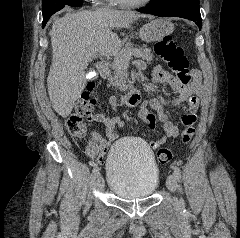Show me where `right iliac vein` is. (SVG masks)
<instances>
[{
	"label": "right iliac vein",
	"instance_id": "1",
	"mask_svg": "<svg viewBox=\"0 0 240 238\" xmlns=\"http://www.w3.org/2000/svg\"><path fill=\"white\" fill-rule=\"evenodd\" d=\"M96 186L99 190H103L104 186H105V182L103 177H101L100 175L97 177L96 180Z\"/></svg>",
	"mask_w": 240,
	"mask_h": 238
}]
</instances>
